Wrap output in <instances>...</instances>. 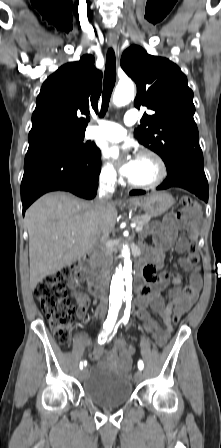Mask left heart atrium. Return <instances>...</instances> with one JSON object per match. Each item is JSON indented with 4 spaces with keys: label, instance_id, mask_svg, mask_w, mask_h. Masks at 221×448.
<instances>
[{
    "label": "left heart atrium",
    "instance_id": "1",
    "mask_svg": "<svg viewBox=\"0 0 221 448\" xmlns=\"http://www.w3.org/2000/svg\"><path fill=\"white\" fill-rule=\"evenodd\" d=\"M127 150L126 145L112 144L105 148L104 155L119 166L123 175L131 178L138 167L139 156L131 155L125 158Z\"/></svg>",
    "mask_w": 221,
    "mask_h": 448
}]
</instances>
